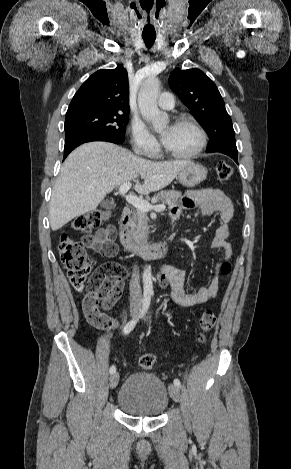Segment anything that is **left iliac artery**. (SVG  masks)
<instances>
[{"mask_svg":"<svg viewBox=\"0 0 291 469\" xmlns=\"http://www.w3.org/2000/svg\"><path fill=\"white\" fill-rule=\"evenodd\" d=\"M174 384H175L176 386H178V387H180V386H181V382H180V380H179V379H177V378H176V379H174Z\"/></svg>","mask_w":291,"mask_h":469,"instance_id":"obj_1","label":"left iliac artery"}]
</instances>
